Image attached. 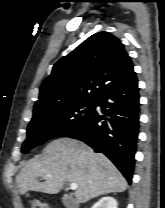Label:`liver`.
Wrapping results in <instances>:
<instances>
[{"label":"liver","instance_id":"liver-1","mask_svg":"<svg viewBox=\"0 0 165 208\" xmlns=\"http://www.w3.org/2000/svg\"><path fill=\"white\" fill-rule=\"evenodd\" d=\"M39 177L45 181L40 182ZM66 182L78 185L75 191L78 203L127 189L126 179L105 155L70 138L49 143L42 155L26 162L16 177L21 195L30 190L57 194Z\"/></svg>","mask_w":165,"mask_h":208}]
</instances>
